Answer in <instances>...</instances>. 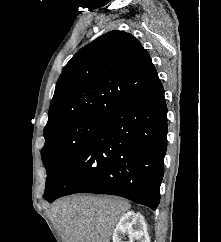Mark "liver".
I'll use <instances>...</instances> for the list:
<instances>
[{
    "label": "liver",
    "instance_id": "6515ba94",
    "mask_svg": "<svg viewBox=\"0 0 221 242\" xmlns=\"http://www.w3.org/2000/svg\"><path fill=\"white\" fill-rule=\"evenodd\" d=\"M130 203L119 197L73 196L57 200L50 218L62 242H109Z\"/></svg>",
    "mask_w": 221,
    "mask_h": 242
}]
</instances>
